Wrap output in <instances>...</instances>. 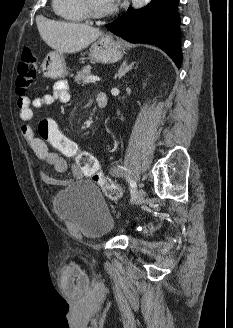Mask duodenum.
<instances>
[{"instance_id": "duodenum-1", "label": "duodenum", "mask_w": 233, "mask_h": 328, "mask_svg": "<svg viewBox=\"0 0 233 328\" xmlns=\"http://www.w3.org/2000/svg\"><path fill=\"white\" fill-rule=\"evenodd\" d=\"M108 103V97L105 93H100L97 96V104L100 108H105Z\"/></svg>"}]
</instances>
